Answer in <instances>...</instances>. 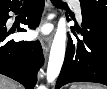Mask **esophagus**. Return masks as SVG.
Masks as SVG:
<instances>
[{
    "mask_svg": "<svg viewBox=\"0 0 107 89\" xmlns=\"http://www.w3.org/2000/svg\"><path fill=\"white\" fill-rule=\"evenodd\" d=\"M46 6H47V11L50 12L51 11L50 1H47ZM52 39H53L52 33H50L48 35H42L41 36L40 41H41V45H42V49H43L44 54H46L48 52L50 45L52 43Z\"/></svg>",
    "mask_w": 107,
    "mask_h": 89,
    "instance_id": "esophagus-1",
    "label": "esophagus"
}]
</instances>
